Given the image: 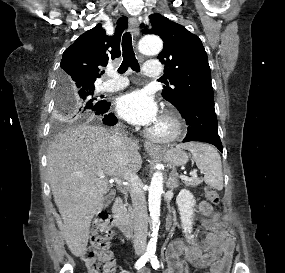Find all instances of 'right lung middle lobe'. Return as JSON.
Masks as SVG:
<instances>
[{"instance_id": "obj_1", "label": "right lung middle lobe", "mask_w": 285, "mask_h": 273, "mask_svg": "<svg viewBox=\"0 0 285 273\" xmlns=\"http://www.w3.org/2000/svg\"><path fill=\"white\" fill-rule=\"evenodd\" d=\"M102 96L94 93V86H72L64 76L59 77L57 108L67 121L93 116L102 103Z\"/></svg>"}]
</instances>
